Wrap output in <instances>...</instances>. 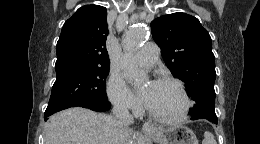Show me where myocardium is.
<instances>
[{"label": "myocardium", "instance_id": "f54148a6", "mask_svg": "<svg viewBox=\"0 0 260 144\" xmlns=\"http://www.w3.org/2000/svg\"><path fill=\"white\" fill-rule=\"evenodd\" d=\"M156 82L157 83H167V84H171V85L175 86L183 97L184 108L179 115L173 116V117H168V116L160 115L158 113L153 112L148 107V105H146V110H147L148 115L152 119L162 122V123H180V122L184 121L185 119H187L189 112L191 110V107H192V101H191V98H190L188 91H187L185 85L183 84V82L176 78H173V77H161V78L157 79Z\"/></svg>", "mask_w": 260, "mask_h": 144}]
</instances>
